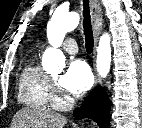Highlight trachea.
I'll use <instances>...</instances> for the list:
<instances>
[{
  "label": "trachea",
  "mask_w": 142,
  "mask_h": 128,
  "mask_svg": "<svg viewBox=\"0 0 142 128\" xmlns=\"http://www.w3.org/2000/svg\"><path fill=\"white\" fill-rule=\"evenodd\" d=\"M83 17V28L86 39V51L87 53H91L93 51L94 39L90 20L89 0H83Z\"/></svg>",
  "instance_id": "obj_1"
}]
</instances>
